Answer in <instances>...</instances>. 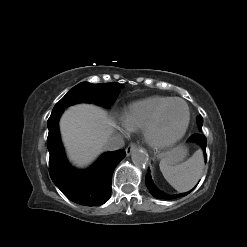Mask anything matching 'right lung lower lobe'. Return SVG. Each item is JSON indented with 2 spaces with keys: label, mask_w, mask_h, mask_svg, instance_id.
<instances>
[{
  "label": "right lung lower lobe",
  "mask_w": 247,
  "mask_h": 247,
  "mask_svg": "<svg viewBox=\"0 0 247 247\" xmlns=\"http://www.w3.org/2000/svg\"><path fill=\"white\" fill-rule=\"evenodd\" d=\"M63 111L53 110L47 122L50 177L69 200L84 206L102 205L111 196L112 174L126 153L124 150L105 153L86 171L71 167L65 158L58 129Z\"/></svg>",
  "instance_id": "1"
}]
</instances>
